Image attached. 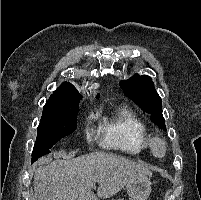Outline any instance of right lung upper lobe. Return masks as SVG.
Here are the masks:
<instances>
[{
  "label": "right lung upper lobe",
  "instance_id": "right-lung-upper-lobe-1",
  "mask_svg": "<svg viewBox=\"0 0 201 200\" xmlns=\"http://www.w3.org/2000/svg\"><path fill=\"white\" fill-rule=\"evenodd\" d=\"M99 95L97 96V98ZM82 95L75 89V87L67 82H63L60 87L49 97V101L53 102H69L80 101Z\"/></svg>",
  "mask_w": 201,
  "mask_h": 200
}]
</instances>
